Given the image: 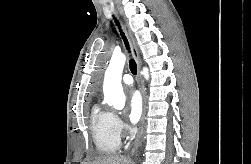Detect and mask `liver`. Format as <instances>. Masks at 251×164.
I'll list each match as a JSON object with an SVG mask.
<instances>
[{"label":"liver","instance_id":"obj_1","mask_svg":"<svg viewBox=\"0 0 251 164\" xmlns=\"http://www.w3.org/2000/svg\"><path fill=\"white\" fill-rule=\"evenodd\" d=\"M90 164H129V160L124 156L110 155L99 157Z\"/></svg>","mask_w":251,"mask_h":164}]
</instances>
